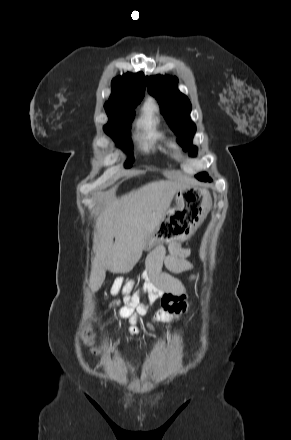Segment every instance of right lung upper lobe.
<instances>
[{
	"instance_id": "right-lung-upper-lobe-1",
	"label": "right lung upper lobe",
	"mask_w": 291,
	"mask_h": 440,
	"mask_svg": "<svg viewBox=\"0 0 291 440\" xmlns=\"http://www.w3.org/2000/svg\"><path fill=\"white\" fill-rule=\"evenodd\" d=\"M144 74L126 73L112 80V93L104 107L109 110H133L143 98Z\"/></svg>"
}]
</instances>
